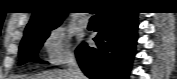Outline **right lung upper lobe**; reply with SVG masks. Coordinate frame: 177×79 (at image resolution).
I'll use <instances>...</instances> for the list:
<instances>
[{"label":"right lung upper lobe","mask_w":177,"mask_h":79,"mask_svg":"<svg viewBox=\"0 0 177 79\" xmlns=\"http://www.w3.org/2000/svg\"><path fill=\"white\" fill-rule=\"evenodd\" d=\"M53 7L50 3H40L33 12L28 25L25 28L24 38H27L34 33L50 28L58 27L62 20L66 17L65 11H48Z\"/></svg>","instance_id":"cb5924a9"}]
</instances>
